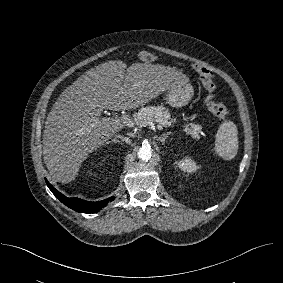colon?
<instances>
[{"instance_id": "1", "label": "colon", "mask_w": 283, "mask_h": 283, "mask_svg": "<svg viewBox=\"0 0 283 283\" xmlns=\"http://www.w3.org/2000/svg\"><path fill=\"white\" fill-rule=\"evenodd\" d=\"M138 57L145 62H151L155 59L154 54L148 51H140ZM208 110L218 117L220 120H226L229 117L228 109L221 103L218 102H209L207 104Z\"/></svg>"}]
</instances>
